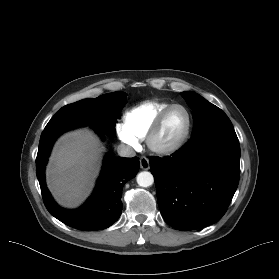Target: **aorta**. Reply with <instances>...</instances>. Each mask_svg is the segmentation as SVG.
<instances>
[{"mask_svg":"<svg viewBox=\"0 0 279 279\" xmlns=\"http://www.w3.org/2000/svg\"><path fill=\"white\" fill-rule=\"evenodd\" d=\"M136 181L141 187H149L154 183V177L150 172L142 171L138 173Z\"/></svg>","mask_w":279,"mask_h":279,"instance_id":"1","label":"aorta"}]
</instances>
